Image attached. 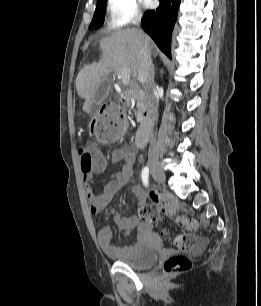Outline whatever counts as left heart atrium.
Masks as SVG:
<instances>
[{
  "mask_svg": "<svg viewBox=\"0 0 261 306\" xmlns=\"http://www.w3.org/2000/svg\"><path fill=\"white\" fill-rule=\"evenodd\" d=\"M146 7H151L153 5V0H142Z\"/></svg>",
  "mask_w": 261,
  "mask_h": 306,
  "instance_id": "1",
  "label": "left heart atrium"
}]
</instances>
